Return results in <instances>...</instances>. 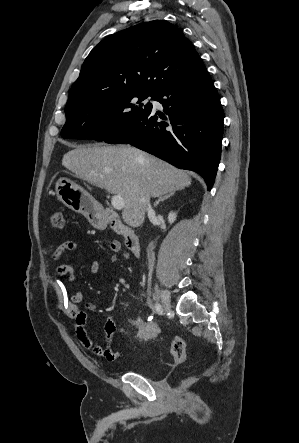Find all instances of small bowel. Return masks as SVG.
<instances>
[{
	"label": "small bowel",
	"mask_w": 299,
	"mask_h": 443,
	"mask_svg": "<svg viewBox=\"0 0 299 443\" xmlns=\"http://www.w3.org/2000/svg\"><path fill=\"white\" fill-rule=\"evenodd\" d=\"M77 249V243L74 241H65L59 245L52 253L54 260H60L69 252ZM100 265L97 261H92L89 265V271L92 274L99 272ZM58 277H66L68 282L75 283L74 268L68 264H60L55 269ZM56 296V308L58 311L66 314L72 321L76 337L82 346L93 352L98 357H103L108 361H115L123 356V353L112 346L116 337H121L130 333L127 326H123L116 322L113 316L109 315L104 325L106 335V345L103 346L94 343L90 338L86 329L87 311H96L97 305L94 303H86L83 308L77 305L83 300V293L77 290L70 293L63 283H57L54 286Z\"/></svg>",
	"instance_id": "c3829d8e"
}]
</instances>
